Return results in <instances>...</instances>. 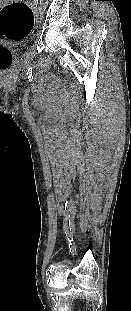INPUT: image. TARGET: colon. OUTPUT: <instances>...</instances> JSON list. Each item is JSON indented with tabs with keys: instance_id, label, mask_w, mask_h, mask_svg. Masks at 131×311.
Here are the masks:
<instances>
[{
	"instance_id": "obj_1",
	"label": "colon",
	"mask_w": 131,
	"mask_h": 311,
	"mask_svg": "<svg viewBox=\"0 0 131 311\" xmlns=\"http://www.w3.org/2000/svg\"><path fill=\"white\" fill-rule=\"evenodd\" d=\"M34 27V15L30 6L19 0H10L0 5V38L12 41L25 39ZM12 63L9 49L0 46V69Z\"/></svg>"
}]
</instances>
